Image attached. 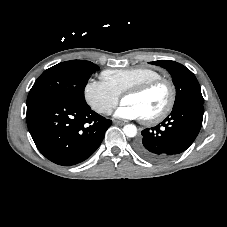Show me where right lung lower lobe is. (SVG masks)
<instances>
[{
	"label": "right lung lower lobe",
	"instance_id": "98d812e1",
	"mask_svg": "<svg viewBox=\"0 0 227 227\" xmlns=\"http://www.w3.org/2000/svg\"><path fill=\"white\" fill-rule=\"evenodd\" d=\"M26 120L39 151L63 166L90 157L112 123L85 103L52 98L27 103Z\"/></svg>",
	"mask_w": 227,
	"mask_h": 227
}]
</instances>
